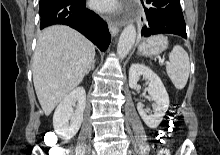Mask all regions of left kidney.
<instances>
[{
  "instance_id": "obj_1",
  "label": "left kidney",
  "mask_w": 220,
  "mask_h": 155,
  "mask_svg": "<svg viewBox=\"0 0 220 155\" xmlns=\"http://www.w3.org/2000/svg\"><path fill=\"white\" fill-rule=\"evenodd\" d=\"M143 76L148 81L147 91L154 101L153 114H147L143 104H137V110L149 128H157L161 123L169 107L168 93L157 74L143 64H132L129 70V86L132 89L139 88L138 81Z\"/></svg>"
}]
</instances>
